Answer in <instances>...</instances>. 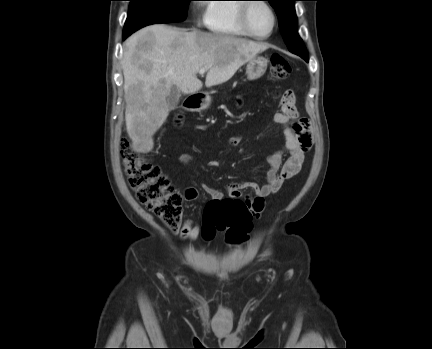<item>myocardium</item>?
Instances as JSON below:
<instances>
[{"label":"myocardium","mask_w":432,"mask_h":349,"mask_svg":"<svg viewBox=\"0 0 432 349\" xmlns=\"http://www.w3.org/2000/svg\"><path fill=\"white\" fill-rule=\"evenodd\" d=\"M247 1H250V2H245L244 4H241L239 7L238 22H239L241 29L246 33L247 36H250L254 39H257V40L268 39L273 34V32L275 31V29L277 27V14H276L274 7L266 0H247ZM257 3L265 5L269 9V11L272 15V21H273L272 27H271L270 31L265 35H258L256 33H254L251 30L250 25H249V21H248L249 11H250L251 7Z\"/></svg>","instance_id":"myocardium-1"}]
</instances>
